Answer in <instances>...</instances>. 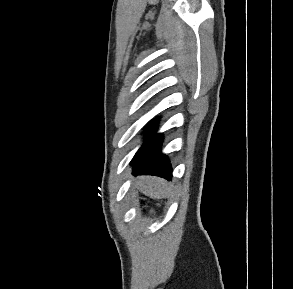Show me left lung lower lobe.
Wrapping results in <instances>:
<instances>
[{
  "instance_id": "left-lung-lower-lobe-1",
  "label": "left lung lower lobe",
  "mask_w": 293,
  "mask_h": 289,
  "mask_svg": "<svg viewBox=\"0 0 293 289\" xmlns=\"http://www.w3.org/2000/svg\"><path fill=\"white\" fill-rule=\"evenodd\" d=\"M157 120L148 125L147 140L131 161L133 174L156 175L167 180L172 178V168L166 155L160 152L162 135L155 134Z\"/></svg>"
}]
</instances>
